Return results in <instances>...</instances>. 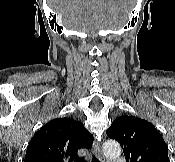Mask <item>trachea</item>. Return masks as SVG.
Here are the masks:
<instances>
[{"label": "trachea", "instance_id": "3493384b", "mask_svg": "<svg viewBox=\"0 0 175 162\" xmlns=\"http://www.w3.org/2000/svg\"><path fill=\"white\" fill-rule=\"evenodd\" d=\"M78 162H86L85 158H81ZM92 162H100L95 156H93Z\"/></svg>", "mask_w": 175, "mask_h": 162}]
</instances>
